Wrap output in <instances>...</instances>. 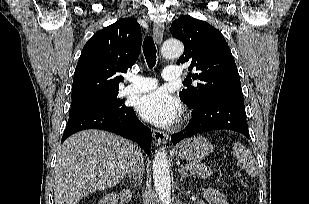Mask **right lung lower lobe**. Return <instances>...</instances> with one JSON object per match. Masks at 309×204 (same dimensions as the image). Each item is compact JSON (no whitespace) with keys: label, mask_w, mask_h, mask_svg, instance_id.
Masks as SVG:
<instances>
[{"label":"right lung lower lobe","mask_w":309,"mask_h":204,"mask_svg":"<svg viewBox=\"0 0 309 204\" xmlns=\"http://www.w3.org/2000/svg\"><path fill=\"white\" fill-rule=\"evenodd\" d=\"M85 129H100L115 133L135 141L148 155L151 153V130L139 121L131 107L121 115L107 111L70 114L62 141Z\"/></svg>","instance_id":"98d812e1"}]
</instances>
